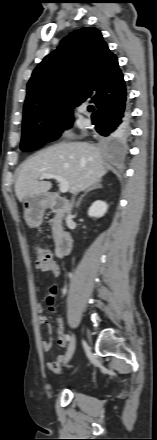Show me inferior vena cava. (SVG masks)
Returning <instances> with one entry per match:
<instances>
[{"label":"inferior vena cava","instance_id":"602c4592","mask_svg":"<svg viewBox=\"0 0 157 440\" xmlns=\"http://www.w3.org/2000/svg\"><path fill=\"white\" fill-rule=\"evenodd\" d=\"M66 223L67 225H70L72 223V215L68 214L67 218H66Z\"/></svg>","mask_w":157,"mask_h":440}]
</instances>
